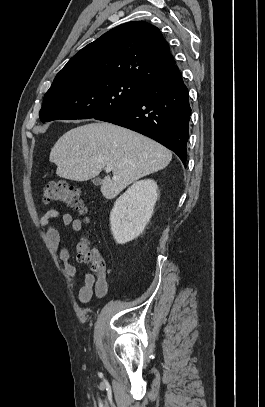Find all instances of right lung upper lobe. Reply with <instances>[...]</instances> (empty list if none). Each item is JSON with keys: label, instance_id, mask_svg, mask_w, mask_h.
Returning a JSON list of instances; mask_svg holds the SVG:
<instances>
[{"label": "right lung upper lobe", "instance_id": "1", "mask_svg": "<svg viewBox=\"0 0 265 407\" xmlns=\"http://www.w3.org/2000/svg\"><path fill=\"white\" fill-rule=\"evenodd\" d=\"M176 69L159 29L144 21L122 24L73 56L54 82L87 76L132 80L151 86Z\"/></svg>", "mask_w": 265, "mask_h": 407}]
</instances>
